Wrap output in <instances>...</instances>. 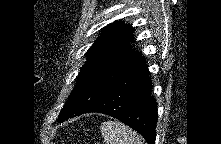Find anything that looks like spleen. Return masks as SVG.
I'll use <instances>...</instances> for the list:
<instances>
[{
	"mask_svg": "<svg viewBox=\"0 0 221 144\" xmlns=\"http://www.w3.org/2000/svg\"><path fill=\"white\" fill-rule=\"evenodd\" d=\"M101 133L106 144H144L138 133L118 121L103 122Z\"/></svg>",
	"mask_w": 221,
	"mask_h": 144,
	"instance_id": "spleen-1",
	"label": "spleen"
}]
</instances>
